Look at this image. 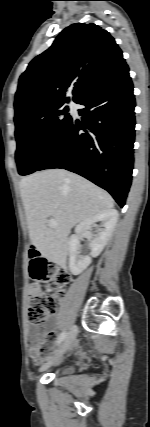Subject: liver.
I'll return each mask as SVG.
<instances>
[{
  "mask_svg": "<svg viewBox=\"0 0 150 427\" xmlns=\"http://www.w3.org/2000/svg\"><path fill=\"white\" fill-rule=\"evenodd\" d=\"M31 243L47 259L65 265L71 229L114 207L112 197L85 178L64 169L35 172L20 181ZM48 217L58 223L48 226Z\"/></svg>",
  "mask_w": 150,
  "mask_h": 427,
  "instance_id": "6515ba94",
  "label": "liver"
}]
</instances>
